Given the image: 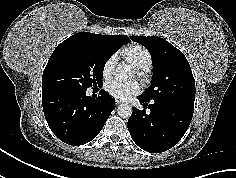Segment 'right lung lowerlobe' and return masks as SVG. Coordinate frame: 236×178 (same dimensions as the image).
<instances>
[{
	"label": "right lung lower lobe",
	"instance_id": "right-lung-lower-lobe-1",
	"mask_svg": "<svg viewBox=\"0 0 236 178\" xmlns=\"http://www.w3.org/2000/svg\"><path fill=\"white\" fill-rule=\"evenodd\" d=\"M100 95L95 99L86 96V91H43V111L52 132L69 145L93 140L115 108L109 94L101 90Z\"/></svg>",
	"mask_w": 236,
	"mask_h": 178
}]
</instances>
